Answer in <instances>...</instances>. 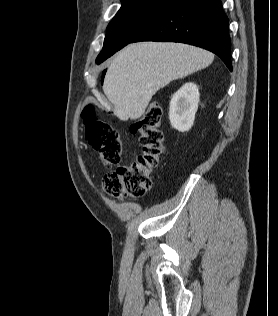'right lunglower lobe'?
<instances>
[{
  "instance_id": "obj_1",
  "label": "right lung lower lobe",
  "mask_w": 278,
  "mask_h": 316,
  "mask_svg": "<svg viewBox=\"0 0 278 316\" xmlns=\"http://www.w3.org/2000/svg\"><path fill=\"white\" fill-rule=\"evenodd\" d=\"M138 41L195 45L218 55L232 71L228 18L221 0H169L130 43Z\"/></svg>"
}]
</instances>
